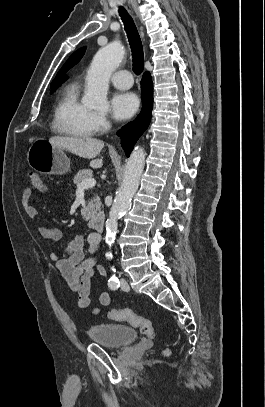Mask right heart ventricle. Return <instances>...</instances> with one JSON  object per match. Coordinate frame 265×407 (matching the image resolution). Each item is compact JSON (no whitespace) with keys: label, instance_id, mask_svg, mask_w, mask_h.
<instances>
[{"label":"right heart ventricle","instance_id":"1","mask_svg":"<svg viewBox=\"0 0 265 407\" xmlns=\"http://www.w3.org/2000/svg\"><path fill=\"white\" fill-rule=\"evenodd\" d=\"M93 112L79 99L77 83L68 84L61 92L53 112V128L62 135L87 138L95 134Z\"/></svg>","mask_w":265,"mask_h":407}]
</instances>
